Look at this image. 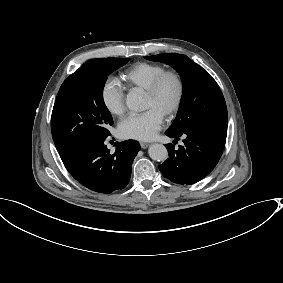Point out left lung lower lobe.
<instances>
[{
	"mask_svg": "<svg viewBox=\"0 0 283 283\" xmlns=\"http://www.w3.org/2000/svg\"><path fill=\"white\" fill-rule=\"evenodd\" d=\"M165 134L176 139L183 136L184 145L175 150L174 145L166 144L169 158L158 168L172 182L190 185L203 179L217 165L225 146L227 128Z\"/></svg>",
	"mask_w": 283,
	"mask_h": 283,
	"instance_id": "0a47b994",
	"label": "left lung lower lobe"
}]
</instances>
